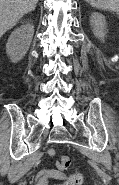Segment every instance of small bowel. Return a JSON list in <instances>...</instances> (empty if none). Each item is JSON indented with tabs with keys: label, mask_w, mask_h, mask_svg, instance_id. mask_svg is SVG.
Masks as SVG:
<instances>
[{
	"label": "small bowel",
	"mask_w": 119,
	"mask_h": 185,
	"mask_svg": "<svg viewBox=\"0 0 119 185\" xmlns=\"http://www.w3.org/2000/svg\"><path fill=\"white\" fill-rule=\"evenodd\" d=\"M49 156L53 157L55 155L54 149L50 148L48 150ZM66 175L63 173V168L57 162L52 167H45L40 169L36 174V185H48L50 179L56 181H62L66 179ZM60 185V184H55Z\"/></svg>",
	"instance_id": "obj_1"
}]
</instances>
